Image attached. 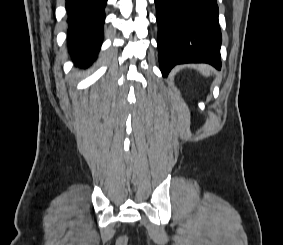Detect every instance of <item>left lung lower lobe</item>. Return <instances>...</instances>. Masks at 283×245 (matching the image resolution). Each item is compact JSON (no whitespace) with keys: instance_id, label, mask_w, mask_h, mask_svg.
<instances>
[{"instance_id":"1","label":"left lung lower lobe","mask_w":283,"mask_h":245,"mask_svg":"<svg viewBox=\"0 0 283 245\" xmlns=\"http://www.w3.org/2000/svg\"><path fill=\"white\" fill-rule=\"evenodd\" d=\"M161 72L183 63L221 69V32L216 0H155Z\"/></svg>"}]
</instances>
